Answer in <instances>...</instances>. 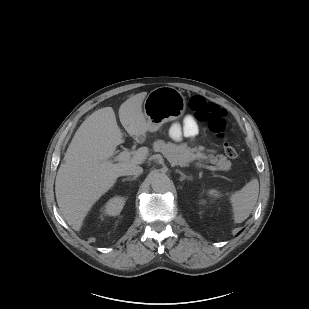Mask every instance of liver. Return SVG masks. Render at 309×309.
Returning a JSON list of instances; mask_svg holds the SVG:
<instances>
[{
	"mask_svg": "<svg viewBox=\"0 0 309 309\" xmlns=\"http://www.w3.org/2000/svg\"><path fill=\"white\" fill-rule=\"evenodd\" d=\"M147 92L127 99L119 108V118L127 133L138 143H143L149 124L142 112ZM112 107H105L91 114L76 131L60 165L55 193L63 218L80 231L92 206L116 182L126 167L142 164L148 148L138 149L126 161L113 163L111 158L118 145L123 143Z\"/></svg>",
	"mask_w": 309,
	"mask_h": 309,
	"instance_id": "obj_1",
	"label": "liver"
}]
</instances>
